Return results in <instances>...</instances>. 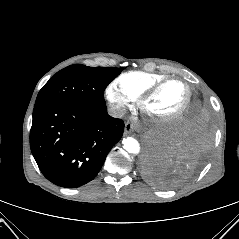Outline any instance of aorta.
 Returning a JSON list of instances; mask_svg holds the SVG:
<instances>
[{"instance_id": "762f6f07", "label": "aorta", "mask_w": 239, "mask_h": 239, "mask_svg": "<svg viewBox=\"0 0 239 239\" xmlns=\"http://www.w3.org/2000/svg\"><path fill=\"white\" fill-rule=\"evenodd\" d=\"M123 148L130 154H139L140 152V144L138 141L133 137L124 138L123 141Z\"/></svg>"}]
</instances>
